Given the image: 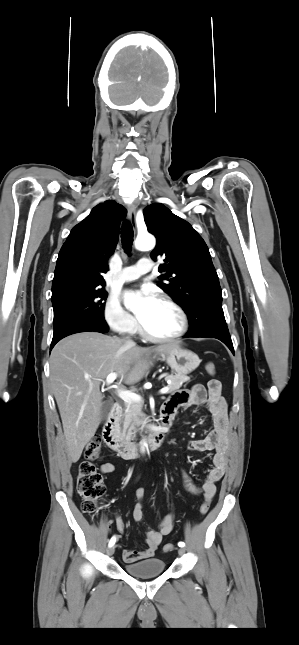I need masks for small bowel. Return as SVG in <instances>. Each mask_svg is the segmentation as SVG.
<instances>
[{"instance_id":"c3829d8e","label":"small bowel","mask_w":299,"mask_h":645,"mask_svg":"<svg viewBox=\"0 0 299 645\" xmlns=\"http://www.w3.org/2000/svg\"><path fill=\"white\" fill-rule=\"evenodd\" d=\"M198 405H206L213 420V428L205 438L191 441L189 447L191 450L199 452L214 450L213 466L207 470L206 478L202 484L194 483L186 472H183V483L190 494H203L205 500L210 501L216 493L217 483L224 476L230 446L227 404L222 396L221 388L212 390L209 387L206 389L203 385L196 384L189 390L178 391L163 406L162 412H165V415L172 420L180 407ZM100 471L104 474L111 473L114 471V465L104 463L101 465ZM136 496L138 502L132 509V517L136 522H142L144 489H137ZM174 520V515L168 514L161 520L157 530L148 529L145 539L146 548L142 551L124 550L122 552L124 562L131 564L152 558L163 538L172 532ZM115 523L117 530L123 533L125 525L121 517L116 516Z\"/></svg>"}]
</instances>
